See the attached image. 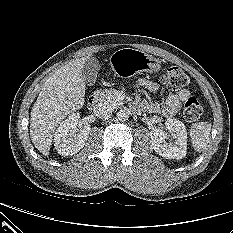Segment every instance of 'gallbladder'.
<instances>
[{
	"label": "gallbladder",
	"mask_w": 233,
	"mask_h": 233,
	"mask_svg": "<svg viewBox=\"0 0 233 233\" xmlns=\"http://www.w3.org/2000/svg\"><path fill=\"white\" fill-rule=\"evenodd\" d=\"M99 70V61L95 57H89L82 69V78L86 85L92 86L95 84Z\"/></svg>",
	"instance_id": "obj_1"
}]
</instances>
